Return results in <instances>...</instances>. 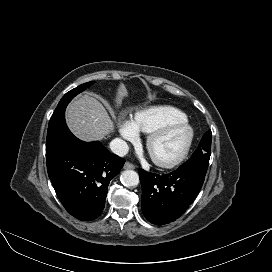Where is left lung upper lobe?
Listing matches in <instances>:
<instances>
[{
  "mask_svg": "<svg viewBox=\"0 0 272 272\" xmlns=\"http://www.w3.org/2000/svg\"><path fill=\"white\" fill-rule=\"evenodd\" d=\"M211 131L209 130L204 134L202 140L199 143V147L192 154L191 158L197 157H209L211 151Z\"/></svg>",
  "mask_w": 272,
  "mask_h": 272,
  "instance_id": "1",
  "label": "left lung upper lobe"
}]
</instances>
